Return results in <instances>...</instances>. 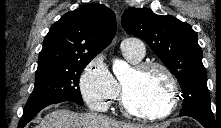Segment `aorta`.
Returning a JSON list of instances; mask_svg holds the SVG:
<instances>
[{
	"instance_id": "762f6f07",
	"label": "aorta",
	"mask_w": 221,
	"mask_h": 128,
	"mask_svg": "<svg viewBox=\"0 0 221 128\" xmlns=\"http://www.w3.org/2000/svg\"><path fill=\"white\" fill-rule=\"evenodd\" d=\"M112 69L114 75L119 79L130 70V66L121 59H114Z\"/></svg>"
}]
</instances>
